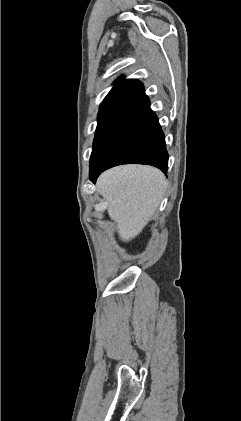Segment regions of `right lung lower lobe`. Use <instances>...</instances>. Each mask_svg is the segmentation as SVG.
I'll return each mask as SVG.
<instances>
[{
	"label": "right lung lower lobe",
	"instance_id": "right-lung-lower-lobe-1",
	"mask_svg": "<svg viewBox=\"0 0 241 421\" xmlns=\"http://www.w3.org/2000/svg\"><path fill=\"white\" fill-rule=\"evenodd\" d=\"M129 163L152 165L164 173L168 169L164 133L145 94L134 102L118 133L90 168V180L95 183L104 170Z\"/></svg>",
	"mask_w": 241,
	"mask_h": 421
}]
</instances>
